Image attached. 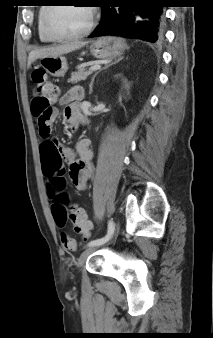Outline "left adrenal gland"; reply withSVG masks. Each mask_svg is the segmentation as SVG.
Instances as JSON below:
<instances>
[{
  "mask_svg": "<svg viewBox=\"0 0 213 338\" xmlns=\"http://www.w3.org/2000/svg\"><path fill=\"white\" fill-rule=\"evenodd\" d=\"M122 59H123V57L119 58L117 61H115V62H113V63H111V64L106 65L103 69H106V68H108L109 66H111V65H113V64H115V63H118V62H119L120 60H122ZM103 69L99 70L98 72H96V73L93 75V77H92V79H91V82H90V85H89V94H91L92 91H93V83H94L95 77H96L97 74H98L100 71H102Z\"/></svg>",
  "mask_w": 213,
  "mask_h": 338,
  "instance_id": "left-adrenal-gland-1",
  "label": "left adrenal gland"
}]
</instances>
